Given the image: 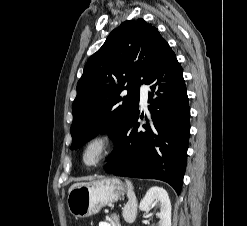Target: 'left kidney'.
Here are the masks:
<instances>
[{
	"label": "left kidney",
	"mask_w": 247,
	"mask_h": 226,
	"mask_svg": "<svg viewBox=\"0 0 247 226\" xmlns=\"http://www.w3.org/2000/svg\"><path fill=\"white\" fill-rule=\"evenodd\" d=\"M153 202H160L157 214L159 226H171V203L167 191L161 187H151L140 202L139 209L148 213Z\"/></svg>",
	"instance_id": "obj_1"
}]
</instances>
